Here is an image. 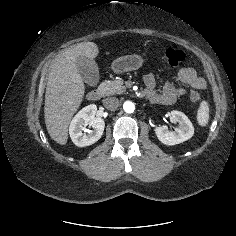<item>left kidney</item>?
Here are the masks:
<instances>
[{
	"instance_id": "obj_1",
	"label": "left kidney",
	"mask_w": 236,
	"mask_h": 236,
	"mask_svg": "<svg viewBox=\"0 0 236 236\" xmlns=\"http://www.w3.org/2000/svg\"><path fill=\"white\" fill-rule=\"evenodd\" d=\"M170 117L178 122V127L169 130L167 126L155 128V134L165 145H176L190 139L194 134V127L188 117L180 111H171Z\"/></svg>"
}]
</instances>
